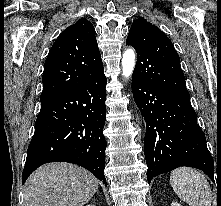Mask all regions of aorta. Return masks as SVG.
<instances>
[{"instance_id":"762f6f07","label":"aorta","mask_w":221,"mask_h":206,"mask_svg":"<svg viewBox=\"0 0 221 206\" xmlns=\"http://www.w3.org/2000/svg\"><path fill=\"white\" fill-rule=\"evenodd\" d=\"M122 74L125 78L130 77L135 67V52L127 49L122 57Z\"/></svg>"}]
</instances>
